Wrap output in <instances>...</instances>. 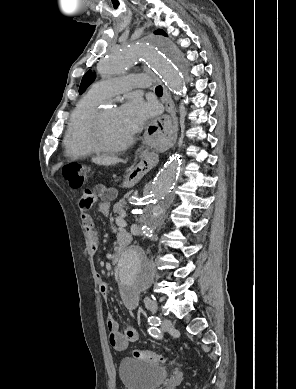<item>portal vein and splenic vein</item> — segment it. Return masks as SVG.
Returning <instances> with one entry per match:
<instances>
[{"instance_id":"portal-vein-and-splenic-vein-1","label":"portal vein and splenic vein","mask_w":296,"mask_h":389,"mask_svg":"<svg viewBox=\"0 0 296 389\" xmlns=\"http://www.w3.org/2000/svg\"><path fill=\"white\" fill-rule=\"evenodd\" d=\"M116 222H119L121 225H126L125 221L123 220L122 216L116 219Z\"/></svg>"}]
</instances>
